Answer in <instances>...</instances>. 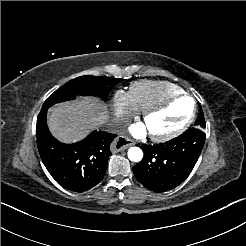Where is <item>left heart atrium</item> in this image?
Instances as JSON below:
<instances>
[{
	"mask_svg": "<svg viewBox=\"0 0 246 246\" xmlns=\"http://www.w3.org/2000/svg\"><path fill=\"white\" fill-rule=\"evenodd\" d=\"M129 130L136 136V137H143L145 135L146 129L141 124L131 125Z\"/></svg>",
	"mask_w": 246,
	"mask_h": 246,
	"instance_id": "39dd6f15",
	"label": "left heart atrium"
}]
</instances>
